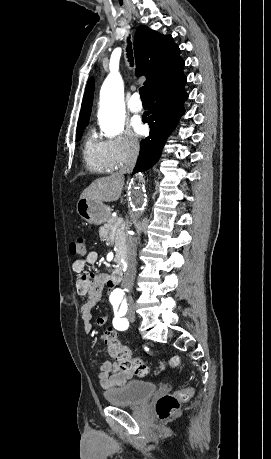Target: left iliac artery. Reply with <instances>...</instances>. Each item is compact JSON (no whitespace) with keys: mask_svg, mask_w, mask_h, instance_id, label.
Returning <instances> with one entry per match:
<instances>
[{"mask_svg":"<svg viewBox=\"0 0 271 459\" xmlns=\"http://www.w3.org/2000/svg\"><path fill=\"white\" fill-rule=\"evenodd\" d=\"M113 306H116L113 310V313L115 315L114 319H113V326L114 328H116L117 330H120V331H123V330H126L128 327H129V322L126 318H119L121 316H125L126 313H127V305L125 307H118L117 305H113Z\"/></svg>","mask_w":271,"mask_h":459,"instance_id":"left-iliac-artery-1","label":"left iliac artery"}]
</instances>
